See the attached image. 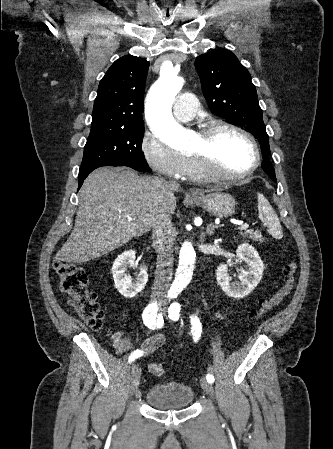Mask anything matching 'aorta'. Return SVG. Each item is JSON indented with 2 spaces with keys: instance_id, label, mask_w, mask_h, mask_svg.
Returning a JSON list of instances; mask_svg holds the SVG:
<instances>
[{
  "instance_id": "762f6f07",
  "label": "aorta",
  "mask_w": 333,
  "mask_h": 449,
  "mask_svg": "<svg viewBox=\"0 0 333 449\" xmlns=\"http://www.w3.org/2000/svg\"><path fill=\"white\" fill-rule=\"evenodd\" d=\"M183 86V79L172 65L161 68L160 77L151 87L146 100V121L156 137L177 150H186L190 145L189 135L175 121L171 108L173 100ZM196 255L188 239L180 240L179 264L172 285L175 293L181 292L190 282L195 267Z\"/></svg>"
}]
</instances>
